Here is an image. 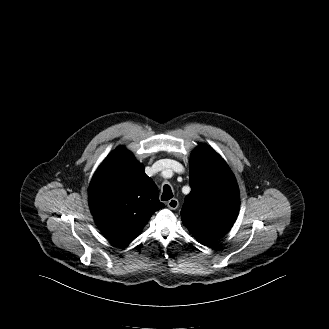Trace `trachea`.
Listing matches in <instances>:
<instances>
[{"instance_id":"1","label":"trachea","mask_w":329,"mask_h":329,"mask_svg":"<svg viewBox=\"0 0 329 329\" xmlns=\"http://www.w3.org/2000/svg\"><path fill=\"white\" fill-rule=\"evenodd\" d=\"M172 197H173V193H172L170 186L167 184L164 185L161 200L167 201V200H170Z\"/></svg>"}]
</instances>
